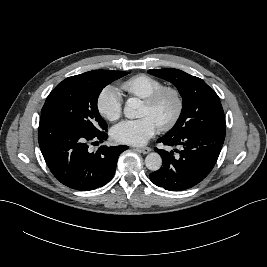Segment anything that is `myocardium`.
<instances>
[{
	"instance_id": "myocardium-1",
	"label": "myocardium",
	"mask_w": 267,
	"mask_h": 267,
	"mask_svg": "<svg viewBox=\"0 0 267 267\" xmlns=\"http://www.w3.org/2000/svg\"><path fill=\"white\" fill-rule=\"evenodd\" d=\"M167 94L173 96L175 100V110L171 117L159 126V129L161 131H169L178 123L184 109V100L181 91L174 86H162L161 88L153 92L150 96L143 99V103L145 105L150 108H155L160 103L162 98Z\"/></svg>"
}]
</instances>
